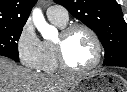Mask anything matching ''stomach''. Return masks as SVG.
<instances>
[{"mask_svg":"<svg viewBox=\"0 0 127 92\" xmlns=\"http://www.w3.org/2000/svg\"><path fill=\"white\" fill-rule=\"evenodd\" d=\"M127 86L120 76L109 73L93 71L83 76L72 88L71 92H124Z\"/></svg>","mask_w":127,"mask_h":92,"instance_id":"obj_1","label":"stomach"}]
</instances>
